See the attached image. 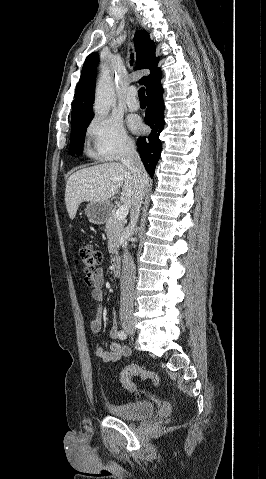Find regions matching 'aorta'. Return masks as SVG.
<instances>
[{
  "label": "aorta",
  "mask_w": 266,
  "mask_h": 479,
  "mask_svg": "<svg viewBox=\"0 0 266 479\" xmlns=\"http://www.w3.org/2000/svg\"><path fill=\"white\" fill-rule=\"evenodd\" d=\"M115 101L114 88L106 70H103L96 88L94 110L99 116H106Z\"/></svg>",
  "instance_id": "1"
}]
</instances>
